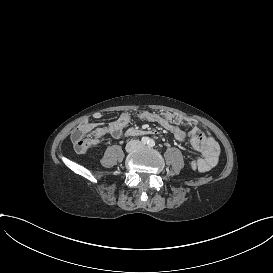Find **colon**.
Wrapping results in <instances>:
<instances>
[{
    "instance_id": "colon-1",
    "label": "colon",
    "mask_w": 273,
    "mask_h": 273,
    "mask_svg": "<svg viewBox=\"0 0 273 273\" xmlns=\"http://www.w3.org/2000/svg\"><path fill=\"white\" fill-rule=\"evenodd\" d=\"M92 130L93 127L88 121L83 122L82 125L75 126L73 132L70 133L68 136L72 147L79 152L93 150L95 147L94 142L85 138L86 136L91 134Z\"/></svg>"
}]
</instances>
